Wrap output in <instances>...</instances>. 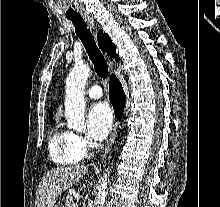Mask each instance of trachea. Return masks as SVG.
Returning a JSON list of instances; mask_svg holds the SVG:
<instances>
[{"label": "trachea", "instance_id": "trachea-1", "mask_svg": "<svg viewBox=\"0 0 220 207\" xmlns=\"http://www.w3.org/2000/svg\"><path fill=\"white\" fill-rule=\"evenodd\" d=\"M72 21L75 31L81 42L83 43L90 60L94 64L96 73L99 77L105 79L108 76L107 62L96 45L91 31L81 16L68 18Z\"/></svg>", "mask_w": 220, "mask_h": 207}]
</instances>
